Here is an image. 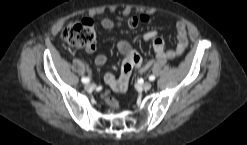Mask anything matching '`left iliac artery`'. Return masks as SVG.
I'll return each mask as SVG.
<instances>
[{"label":"left iliac artery","mask_w":247,"mask_h":145,"mask_svg":"<svg viewBox=\"0 0 247 145\" xmlns=\"http://www.w3.org/2000/svg\"><path fill=\"white\" fill-rule=\"evenodd\" d=\"M149 80H150V81H154V80H155V76H154V75H150V76H149Z\"/></svg>","instance_id":"left-iliac-artery-1"}]
</instances>
